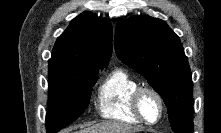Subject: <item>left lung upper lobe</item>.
<instances>
[{"label":"left lung upper lobe","mask_w":221,"mask_h":133,"mask_svg":"<svg viewBox=\"0 0 221 133\" xmlns=\"http://www.w3.org/2000/svg\"><path fill=\"white\" fill-rule=\"evenodd\" d=\"M118 58L143 75L162 96L175 133H192L193 83L179 37L168 25L149 16L118 23Z\"/></svg>","instance_id":"left-lung-upper-lobe-1"}]
</instances>
